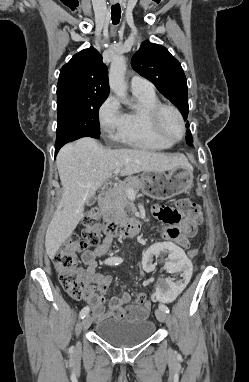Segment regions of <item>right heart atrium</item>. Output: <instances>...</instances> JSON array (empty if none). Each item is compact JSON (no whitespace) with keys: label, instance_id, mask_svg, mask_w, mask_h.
Here are the masks:
<instances>
[{"label":"right heart atrium","instance_id":"d8ad5b80","mask_svg":"<svg viewBox=\"0 0 249 382\" xmlns=\"http://www.w3.org/2000/svg\"><path fill=\"white\" fill-rule=\"evenodd\" d=\"M98 122L101 131L112 138H117L125 126V113L118 100L109 96L98 111Z\"/></svg>","mask_w":249,"mask_h":382}]
</instances>
